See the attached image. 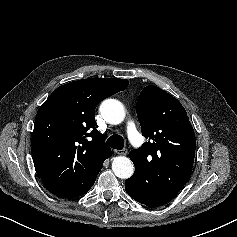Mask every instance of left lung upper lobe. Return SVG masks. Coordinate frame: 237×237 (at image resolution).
I'll list each match as a JSON object with an SVG mask.
<instances>
[{"label": "left lung upper lobe", "instance_id": "left-lung-upper-lobe-1", "mask_svg": "<svg viewBox=\"0 0 237 237\" xmlns=\"http://www.w3.org/2000/svg\"><path fill=\"white\" fill-rule=\"evenodd\" d=\"M136 112L142 134L150 141L133 149V185L143 201L161 206L188 181L194 162L196 139L181 103L156 86L140 93Z\"/></svg>", "mask_w": 237, "mask_h": 237}]
</instances>
